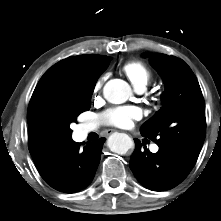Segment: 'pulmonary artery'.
Listing matches in <instances>:
<instances>
[{
    "mask_svg": "<svg viewBox=\"0 0 221 221\" xmlns=\"http://www.w3.org/2000/svg\"><path fill=\"white\" fill-rule=\"evenodd\" d=\"M136 89H137V91H138L139 93H142V92L145 90V87H138V88H136ZM95 128H96V125L90 123V124H87V125L84 126V131H85V132H89V131L94 130ZM158 150H159V147H158L156 144H154V145L151 146V151H152V152L156 153V152H158Z\"/></svg>",
    "mask_w": 221,
    "mask_h": 221,
    "instance_id": "pulmonary-artery-1",
    "label": "pulmonary artery"
}]
</instances>
